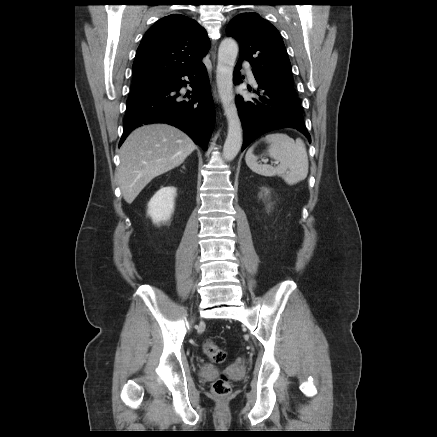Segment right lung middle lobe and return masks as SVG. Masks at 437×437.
I'll list each match as a JSON object with an SVG mask.
<instances>
[{
  "mask_svg": "<svg viewBox=\"0 0 437 437\" xmlns=\"http://www.w3.org/2000/svg\"><path fill=\"white\" fill-rule=\"evenodd\" d=\"M166 80H145L133 82L131 87V95H137L147 92L165 83Z\"/></svg>",
  "mask_w": 437,
  "mask_h": 437,
  "instance_id": "1",
  "label": "right lung middle lobe"
}]
</instances>
